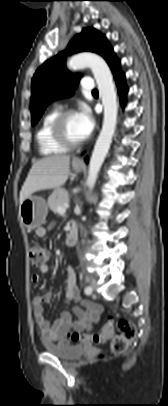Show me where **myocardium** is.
<instances>
[{"label": "myocardium", "instance_id": "myocardium-1", "mask_svg": "<svg viewBox=\"0 0 168 406\" xmlns=\"http://www.w3.org/2000/svg\"><path fill=\"white\" fill-rule=\"evenodd\" d=\"M73 114H76V111L73 109L60 111L51 126V133L54 141L66 148H76L85 142V138L79 141H73L66 134L65 122L67 118Z\"/></svg>", "mask_w": 168, "mask_h": 406}]
</instances>
